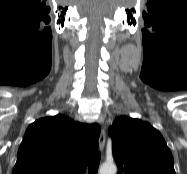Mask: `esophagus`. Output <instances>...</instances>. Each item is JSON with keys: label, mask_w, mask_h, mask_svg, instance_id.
I'll list each match as a JSON object with an SVG mask.
<instances>
[{"label": "esophagus", "mask_w": 187, "mask_h": 174, "mask_svg": "<svg viewBox=\"0 0 187 174\" xmlns=\"http://www.w3.org/2000/svg\"><path fill=\"white\" fill-rule=\"evenodd\" d=\"M105 141H106V135H105V130L102 128L99 136V148L101 151L104 150L105 147Z\"/></svg>", "instance_id": "obj_1"}]
</instances>
